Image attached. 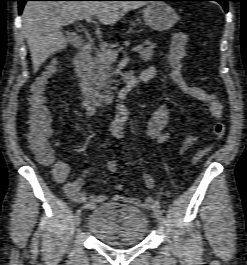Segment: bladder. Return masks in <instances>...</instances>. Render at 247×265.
Listing matches in <instances>:
<instances>
[{
  "label": "bladder",
  "instance_id": "obj_1",
  "mask_svg": "<svg viewBox=\"0 0 247 265\" xmlns=\"http://www.w3.org/2000/svg\"><path fill=\"white\" fill-rule=\"evenodd\" d=\"M87 229L106 245L126 247L146 238L149 222L147 215L137 207L105 202L91 211Z\"/></svg>",
  "mask_w": 247,
  "mask_h": 265
}]
</instances>
